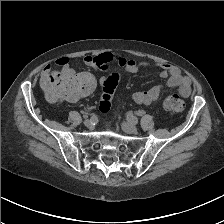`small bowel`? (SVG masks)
I'll list each match as a JSON object with an SVG mask.
<instances>
[{"instance_id": "c3829d8e", "label": "small bowel", "mask_w": 224, "mask_h": 224, "mask_svg": "<svg viewBox=\"0 0 224 224\" xmlns=\"http://www.w3.org/2000/svg\"><path fill=\"white\" fill-rule=\"evenodd\" d=\"M84 63L93 68L94 70L102 71L107 69L108 65L115 62L121 68L125 69L129 73H136L142 68L155 67L160 70V76L167 79V85L172 88H177L180 95L188 97L191 93L190 79L182 75L181 71L170 64L157 63L151 65L147 62H139L134 59H128L123 56L115 55L112 53H101L98 55H87L83 58ZM56 64L61 66L64 71H69V59L67 57H60L56 60ZM52 76V69L50 66H46L41 74V80L43 83ZM105 77H100L101 83L105 81ZM162 91L161 85H155L147 90L137 91L133 93L132 99L137 104L150 105L155 102Z\"/></svg>"}]
</instances>
